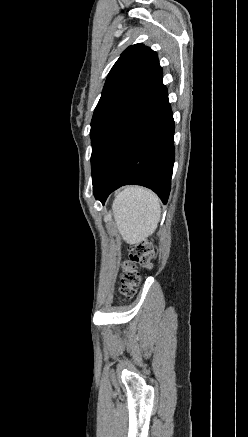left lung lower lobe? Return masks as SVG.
<instances>
[{
  "label": "left lung lower lobe",
  "mask_w": 248,
  "mask_h": 437,
  "mask_svg": "<svg viewBox=\"0 0 248 437\" xmlns=\"http://www.w3.org/2000/svg\"><path fill=\"white\" fill-rule=\"evenodd\" d=\"M174 120L168 93L161 85L118 128L92 180L93 193L105 203L127 184L152 189L167 203L174 164Z\"/></svg>",
  "instance_id": "left-lung-lower-lobe-1"
}]
</instances>
